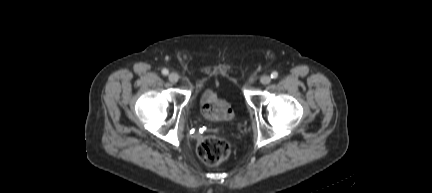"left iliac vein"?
Here are the masks:
<instances>
[{"label":"left iliac vein","mask_w":432,"mask_h":193,"mask_svg":"<svg viewBox=\"0 0 432 193\" xmlns=\"http://www.w3.org/2000/svg\"><path fill=\"white\" fill-rule=\"evenodd\" d=\"M260 82H261L263 85H267V84H269V83L271 82V77L268 76V75H264V76H262V77L260 78Z\"/></svg>","instance_id":"4c4485c4"}]
</instances>
